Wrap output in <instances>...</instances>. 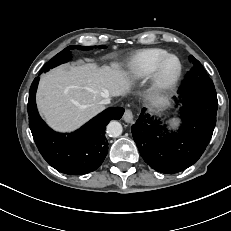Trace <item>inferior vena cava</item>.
Instances as JSON below:
<instances>
[{"mask_svg":"<svg viewBox=\"0 0 231 231\" xmlns=\"http://www.w3.org/2000/svg\"><path fill=\"white\" fill-rule=\"evenodd\" d=\"M110 102H111V101H110V98L107 97V98H103V99L99 102V104H100L101 107H102L103 105L109 104Z\"/></svg>","mask_w":231,"mask_h":231,"instance_id":"602c4592","label":"inferior vena cava"}]
</instances>
